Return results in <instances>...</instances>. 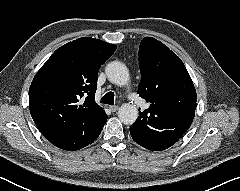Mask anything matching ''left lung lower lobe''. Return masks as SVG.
Masks as SVG:
<instances>
[{
    "instance_id": "left-lung-lower-lobe-1",
    "label": "left lung lower lobe",
    "mask_w": 240,
    "mask_h": 191,
    "mask_svg": "<svg viewBox=\"0 0 240 191\" xmlns=\"http://www.w3.org/2000/svg\"><path fill=\"white\" fill-rule=\"evenodd\" d=\"M139 115L130 128L133 140L139 145L149 150L160 151L169 148L179 140V135L171 129H161L159 125L153 123H150L151 127H149L145 124L146 117H143L141 112Z\"/></svg>"
}]
</instances>
